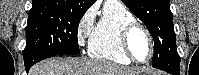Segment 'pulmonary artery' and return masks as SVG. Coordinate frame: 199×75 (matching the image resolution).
<instances>
[{
    "label": "pulmonary artery",
    "instance_id": "obj_1",
    "mask_svg": "<svg viewBox=\"0 0 199 75\" xmlns=\"http://www.w3.org/2000/svg\"><path fill=\"white\" fill-rule=\"evenodd\" d=\"M115 4H120L119 1H106L105 6H112Z\"/></svg>",
    "mask_w": 199,
    "mask_h": 75
}]
</instances>
